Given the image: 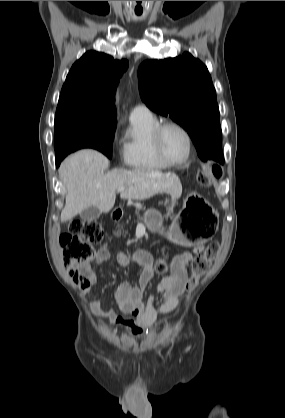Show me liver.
I'll use <instances>...</instances> for the list:
<instances>
[{
	"label": "liver",
	"mask_w": 285,
	"mask_h": 418,
	"mask_svg": "<svg viewBox=\"0 0 285 418\" xmlns=\"http://www.w3.org/2000/svg\"><path fill=\"white\" fill-rule=\"evenodd\" d=\"M109 160L100 152L86 149L67 157L59 167L66 187L65 207L61 222L72 220L91 206L108 213L115 204L116 191L122 199L145 200L158 193H169L178 199L182 194L179 178L173 173L146 169H114L105 173Z\"/></svg>",
	"instance_id": "obj_1"
}]
</instances>
